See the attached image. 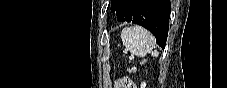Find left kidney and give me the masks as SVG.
I'll list each match as a JSON object with an SVG mask.
<instances>
[{"label":"left kidney","instance_id":"left-kidney-1","mask_svg":"<svg viewBox=\"0 0 227 88\" xmlns=\"http://www.w3.org/2000/svg\"><path fill=\"white\" fill-rule=\"evenodd\" d=\"M140 88H146V83L142 82Z\"/></svg>","mask_w":227,"mask_h":88}]
</instances>
